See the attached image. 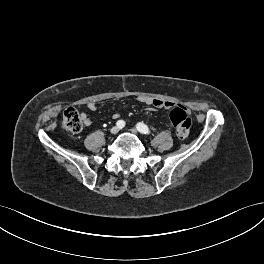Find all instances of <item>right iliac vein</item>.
I'll return each instance as SVG.
<instances>
[{"instance_id": "63e3f726", "label": "right iliac vein", "mask_w": 264, "mask_h": 264, "mask_svg": "<svg viewBox=\"0 0 264 264\" xmlns=\"http://www.w3.org/2000/svg\"><path fill=\"white\" fill-rule=\"evenodd\" d=\"M110 132L112 134H117L119 132V127H117V126L112 127L111 130H110Z\"/></svg>"}]
</instances>
